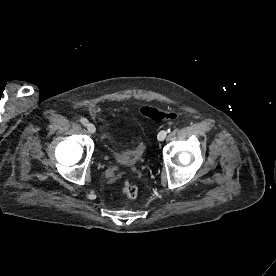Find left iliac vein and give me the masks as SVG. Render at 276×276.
<instances>
[{"instance_id":"4c4485c4","label":"left iliac vein","mask_w":276,"mask_h":276,"mask_svg":"<svg viewBox=\"0 0 276 276\" xmlns=\"http://www.w3.org/2000/svg\"><path fill=\"white\" fill-rule=\"evenodd\" d=\"M166 136H167V131L162 130L158 133L157 138H158L159 141H163L166 138Z\"/></svg>"}]
</instances>
